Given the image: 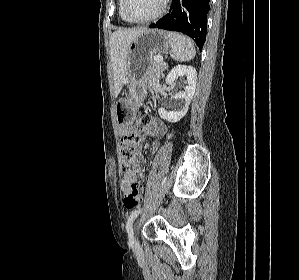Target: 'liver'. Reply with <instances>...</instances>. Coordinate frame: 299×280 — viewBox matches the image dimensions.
I'll return each mask as SVG.
<instances>
[{
	"mask_svg": "<svg viewBox=\"0 0 299 280\" xmlns=\"http://www.w3.org/2000/svg\"><path fill=\"white\" fill-rule=\"evenodd\" d=\"M145 29L117 30L110 37V59L114 77V96L117 97L125 84L128 47Z\"/></svg>",
	"mask_w": 299,
	"mask_h": 280,
	"instance_id": "liver-1",
	"label": "liver"
}]
</instances>
